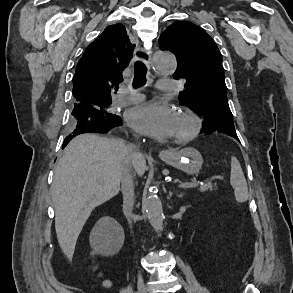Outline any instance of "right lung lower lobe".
Instances as JSON below:
<instances>
[{"mask_svg":"<svg viewBox=\"0 0 293 293\" xmlns=\"http://www.w3.org/2000/svg\"><path fill=\"white\" fill-rule=\"evenodd\" d=\"M75 118L74 130L65 138L62 148H64L71 139L82 133H106L112 128L122 125L119 116L113 113H104L92 106L75 104L72 111Z\"/></svg>","mask_w":293,"mask_h":293,"instance_id":"obj_1","label":"right lung lower lobe"}]
</instances>
